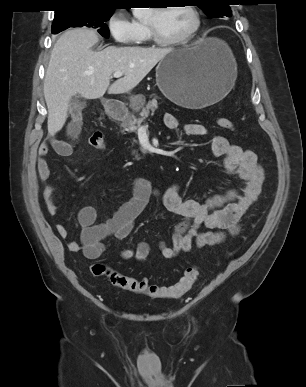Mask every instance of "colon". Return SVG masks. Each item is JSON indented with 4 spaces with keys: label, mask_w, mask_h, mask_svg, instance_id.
Returning <instances> with one entry per match:
<instances>
[{
    "label": "colon",
    "mask_w": 306,
    "mask_h": 387,
    "mask_svg": "<svg viewBox=\"0 0 306 387\" xmlns=\"http://www.w3.org/2000/svg\"><path fill=\"white\" fill-rule=\"evenodd\" d=\"M216 123L225 130L233 131L235 129L234 123L224 117L218 118ZM88 143L92 148L103 149L105 147L103 134L94 132L90 135ZM90 271L94 276L107 277L115 287L152 298H179L191 289L199 277V269L196 266H190L184 270L177 282L168 286H160L152 284L146 279L123 275L100 262L91 264Z\"/></svg>",
    "instance_id": "obj_1"
}]
</instances>
